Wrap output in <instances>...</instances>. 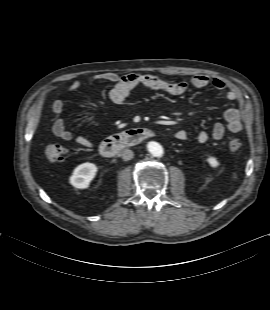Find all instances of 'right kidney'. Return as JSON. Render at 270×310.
<instances>
[{"label": "right kidney", "instance_id": "1", "mask_svg": "<svg viewBox=\"0 0 270 310\" xmlns=\"http://www.w3.org/2000/svg\"><path fill=\"white\" fill-rule=\"evenodd\" d=\"M96 173L97 167L95 164L89 162L83 163L74 169L70 177V184L78 189L88 188Z\"/></svg>", "mask_w": 270, "mask_h": 310}]
</instances>
